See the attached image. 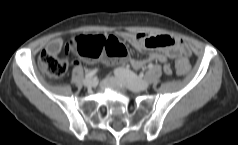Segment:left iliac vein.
Listing matches in <instances>:
<instances>
[{"instance_id":"left-iliac-vein-1","label":"left iliac vein","mask_w":238,"mask_h":145,"mask_svg":"<svg viewBox=\"0 0 238 145\" xmlns=\"http://www.w3.org/2000/svg\"><path fill=\"white\" fill-rule=\"evenodd\" d=\"M114 73L115 76L122 82V84L133 92L145 90L149 86V82L147 80L139 78L137 75L127 69L116 68Z\"/></svg>"}]
</instances>
